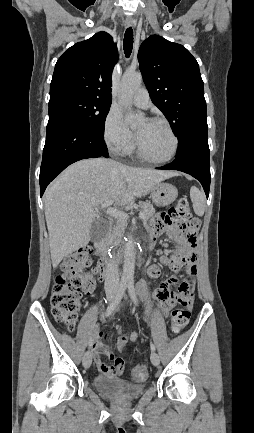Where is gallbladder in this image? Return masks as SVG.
<instances>
[{
    "label": "gallbladder",
    "mask_w": 254,
    "mask_h": 433,
    "mask_svg": "<svg viewBox=\"0 0 254 433\" xmlns=\"http://www.w3.org/2000/svg\"><path fill=\"white\" fill-rule=\"evenodd\" d=\"M108 232V223L103 219H95L90 227V239L93 242L102 240Z\"/></svg>",
    "instance_id": "obj_1"
}]
</instances>
